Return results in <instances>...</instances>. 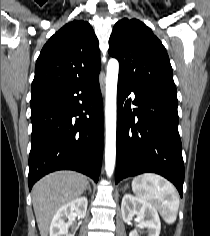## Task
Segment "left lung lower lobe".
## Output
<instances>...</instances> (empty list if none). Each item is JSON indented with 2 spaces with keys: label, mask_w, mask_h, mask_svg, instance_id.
Returning <instances> with one entry per match:
<instances>
[{
  "label": "left lung lower lobe",
  "mask_w": 210,
  "mask_h": 236,
  "mask_svg": "<svg viewBox=\"0 0 210 236\" xmlns=\"http://www.w3.org/2000/svg\"><path fill=\"white\" fill-rule=\"evenodd\" d=\"M135 99H127L130 93ZM131 104L136 108L131 109ZM176 92L140 88L118 78L115 183L145 172L160 174L183 194L184 163Z\"/></svg>",
  "instance_id": "1"
}]
</instances>
